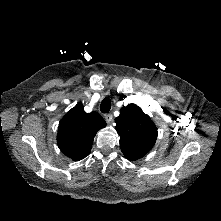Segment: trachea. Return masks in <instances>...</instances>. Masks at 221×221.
Segmentation results:
<instances>
[{
    "label": "trachea",
    "instance_id": "trachea-1",
    "mask_svg": "<svg viewBox=\"0 0 221 221\" xmlns=\"http://www.w3.org/2000/svg\"><path fill=\"white\" fill-rule=\"evenodd\" d=\"M111 109V100L109 98H104L100 105V111L102 113H107Z\"/></svg>",
    "mask_w": 221,
    "mask_h": 221
}]
</instances>
